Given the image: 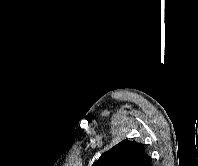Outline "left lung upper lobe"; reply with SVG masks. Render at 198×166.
<instances>
[{"label": "left lung upper lobe", "instance_id": "5c2ea615", "mask_svg": "<svg viewBox=\"0 0 198 166\" xmlns=\"http://www.w3.org/2000/svg\"><path fill=\"white\" fill-rule=\"evenodd\" d=\"M93 166H152V161L142 143L126 139L103 153Z\"/></svg>", "mask_w": 198, "mask_h": 166}]
</instances>
